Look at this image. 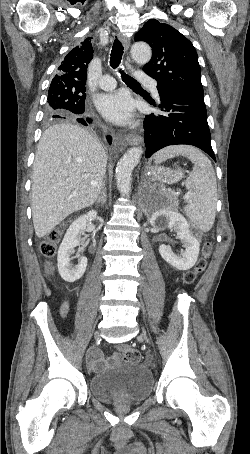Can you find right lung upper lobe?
Masks as SVG:
<instances>
[{
	"label": "right lung upper lobe",
	"mask_w": 250,
	"mask_h": 454,
	"mask_svg": "<svg viewBox=\"0 0 250 454\" xmlns=\"http://www.w3.org/2000/svg\"><path fill=\"white\" fill-rule=\"evenodd\" d=\"M91 37L73 48L58 67V74L53 78L50 87L74 89L85 86L87 67L93 58Z\"/></svg>",
	"instance_id": "cb5924a9"
}]
</instances>
